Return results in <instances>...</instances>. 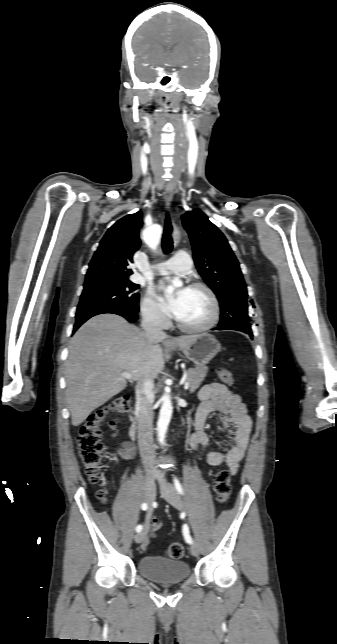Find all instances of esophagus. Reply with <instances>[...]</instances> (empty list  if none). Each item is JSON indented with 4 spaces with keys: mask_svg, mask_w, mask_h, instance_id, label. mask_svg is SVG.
<instances>
[{
    "mask_svg": "<svg viewBox=\"0 0 337 644\" xmlns=\"http://www.w3.org/2000/svg\"><path fill=\"white\" fill-rule=\"evenodd\" d=\"M163 198H164L165 206L167 208H169L170 205H171V202L173 200V188H172V186L170 184H168L166 186ZM179 238H180L179 230H178V228L176 226H174V243L175 244L178 243Z\"/></svg>",
    "mask_w": 337,
    "mask_h": 644,
    "instance_id": "1",
    "label": "esophagus"
}]
</instances>
